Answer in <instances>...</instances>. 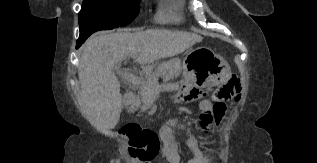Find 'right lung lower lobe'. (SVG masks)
I'll return each mask as SVG.
<instances>
[{
	"instance_id": "right-lung-lower-lobe-1",
	"label": "right lung lower lobe",
	"mask_w": 317,
	"mask_h": 163,
	"mask_svg": "<svg viewBox=\"0 0 317 163\" xmlns=\"http://www.w3.org/2000/svg\"><path fill=\"white\" fill-rule=\"evenodd\" d=\"M83 42H84V41L77 42L76 48L80 47Z\"/></svg>"
}]
</instances>
